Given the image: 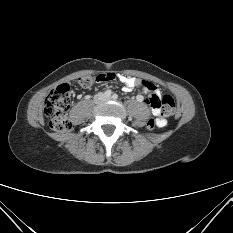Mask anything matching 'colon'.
<instances>
[{
    "instance_id": "1",
    "label": "colon",
    "mask_w": 233,
    "mask_h": 233,
    "mask_svg": "<svg viewBox=\"0 0 233 233\" xmlns=\"http://www.w3.org/2000/svg\"><path fill=\"white\" fill-rule=\"evenodd\" d=\"M96 76H83L78 79L79 85L82 88H90L95 83L99 82ZM101 82V81H100ZM149 90L153 91L155 86L150 82H145ZM72 101V92L68 84H61L53 89L47 96L44 102V112L50 118V128L56 132H69L73 129L72 121L66 116ZM149 103L153 107H158L166 116H171L176 111V103L171 95L165 94L162 97L153 95L149 99ZM147 127L153 129L156 127L155 119H150L147 122Z\"/></svg>"
}]
</instances>
